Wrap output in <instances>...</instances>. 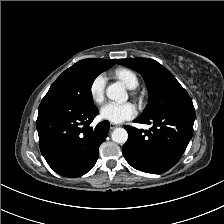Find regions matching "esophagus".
<instances>
[{"instance_id": "1", "label": "esophagus", "mask_w": 224, "mask_h": 224, "mask_svg": "<svg viewBox=\"0 0 224 224\" xmlns=\"http://www.w3.org/2000/svg\"><path fill=\"white\" fill-rule=\"evenodd\" d=\"M117 127H118L117 124H114V123H110V124H109V128H110V130H114V129L117 128Z\"/></svg>"}]
</instances>
